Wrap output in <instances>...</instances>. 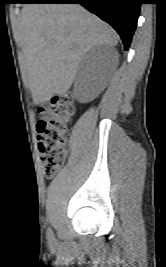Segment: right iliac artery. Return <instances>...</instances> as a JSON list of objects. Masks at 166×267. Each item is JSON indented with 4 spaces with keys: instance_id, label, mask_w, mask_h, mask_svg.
<instances>
[{
    "instance_id": "right-iliac-artery-1",
    "label": "right iliac artery",
    "mask_w": 166,
    "mask_h": 267,
    "mask_svg": "<svg viewBox=\"0 0 166 267\" xmlns=\"http://www.w3.org/2000/svg\"><path fill=\"white\" fill-rule=\"evenodd\" d=\"M47 237L49 241H53L54 239L53 231L50 228L47 231Z\"/></svg>"
}]
</instances>
